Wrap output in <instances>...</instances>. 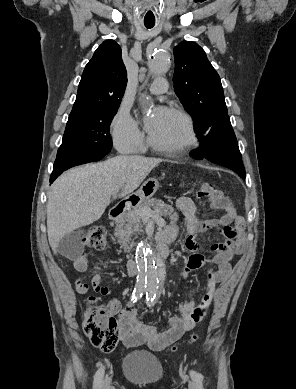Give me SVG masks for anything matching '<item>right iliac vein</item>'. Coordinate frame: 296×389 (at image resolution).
I'll list each match as a JSON object with an SVG mask.
<instances>
[{
    "label": "right iliac vein",
    "instance_id": "right-iliac-vein-1",
    "mask_svg": "<svg viewBox=\"0 0 296 389\" xmlns=\"http://www.w3.org/2000/svg\"><path fill=\"white\" fill-rule=\"evenodd\" d=\"M109 388H110V379L105 378L100 389H109Z\"/></svg>",
    "mask_w": 296,
    "mask_h": 389
}]
</instances>
